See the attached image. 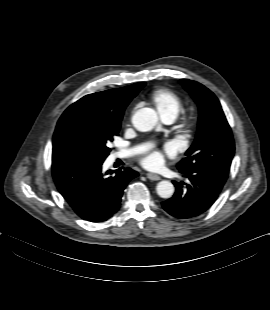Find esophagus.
Masks as SVG:
<instances>
[{
	"label": "esophagus",
	"instance_id": "34e87169",
	"mask_svg": "<svg viewBox=\"0 0 270 310\" xmlns=\"http://www.w3.org/2000/svg\"><path fill=\"white\" fill-rule=\"evenodd\" d=\"M146 176L148 179L153 180V181H158L161 179V177L155 173H147Z\"/></svg>",
	"mask_w": 270,
	"mask_h": 310
}]
</instances>
